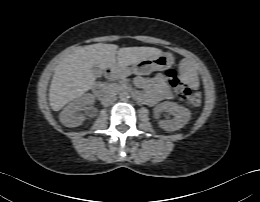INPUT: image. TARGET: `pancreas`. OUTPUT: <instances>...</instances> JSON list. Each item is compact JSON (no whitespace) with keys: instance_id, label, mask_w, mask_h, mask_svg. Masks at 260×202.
Listing matches in <instances>:
<instances>
[{"instance_id":"obj_1","label":"pancreas","mask_w":260,"mask_h":202,"mask_svg":"<svg viewBox=\"0 0 260 202\" xmlns=\"http://www.w3.org/2000/svg\"><path fill=\"white\" fill-rule=\"evenodd\" d=\"M104 88L107 91H115L120 88V84L112 83V84H104Z\"/></svg>"}]
</instances>
